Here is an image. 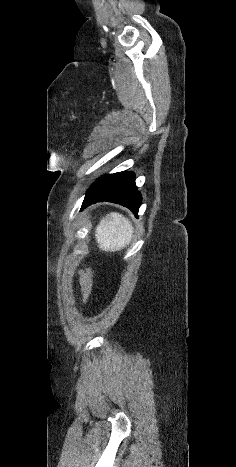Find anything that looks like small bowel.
<instances>
[{
    "mask_svg": "<svg viewBox=\"0 0 236 467\" xmlns=\"http://www.w3.org/2000/svg\"><path fill=\"white\" fill-rule=\"evenodd\" d=\"M79 281L83 302H87L92 294L94 287V273L92 271L82 272L80 274Z\"/></svg>",
    "mask_w": 236,
    "mask_h": 467,
    "instance_id": "obj_1",
    "label": "small bowel"
}]
</instances>
